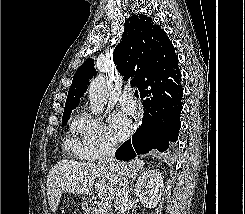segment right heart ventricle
Listing matches in <instances>:
<instances>
[{
	"mask_svg": "<svg viewBox=\"0 0 245 214\" xmlns=\"http://www.w3.org/2000/svg\"><path fill=\"white\" fill-rule=\"evenodd\" d=\"M64 147L68 151L76 153V141L74 137L68 136L64 141Z\"/></svg>",
	"mask_w": 245,
	"mask_h": 214,
	"instance_id": "e07e8e85",
	"label": "right heart ventricle"
}]
</instances>
